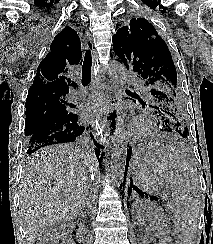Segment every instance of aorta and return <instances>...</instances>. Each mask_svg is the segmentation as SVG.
Returning <instances> with one entry per match:
<instances>
[{
    "mask_svg": "<svg viewBox=\"0 0 213 244\" xmlns=\"http://www.w3.org/2000/svg\"><path fill=\"white\" fill-rule=\"evenodd\" d=\"M108 72L116 89V99L121 100L124 92V67L117 61H111L108 64ZM126 160L127 139L123 128V119L118 116L111 154V180L114 186H119L124 179Z\"/></svg>",
    "mask_w": 213,
    "mask_h": 244,
    "instance_id": "1",
    "label": "aorta"
}]
</instances>
